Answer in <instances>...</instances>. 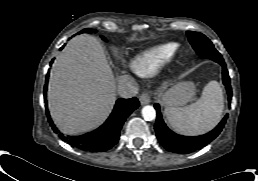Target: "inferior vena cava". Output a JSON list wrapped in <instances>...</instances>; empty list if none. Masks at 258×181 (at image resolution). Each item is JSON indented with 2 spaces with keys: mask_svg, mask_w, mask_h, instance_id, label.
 Wrapping results in <instances>:
<instances>
[{
  "mask_svg": "<svg viewBox=\"0 0 258 181\" xmlns=\"http://www.w3.org/2000/svg\"><path fill=\"white\" fill-rule=\"evenodd\" d=\"M139 90L137 82L128 75L119 76L117 80V91L122 98H132Z\"/></svg>",
  "mask_w": 258,
  "mask_h": 181,
  "instance_id": "1",
  "label": "inferior vena cava"
}]
</instances>
